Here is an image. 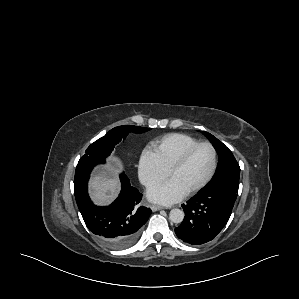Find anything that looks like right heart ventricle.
Listing matches in <instances>:
<instances>
[{
    "label": "right heart ventricle",
    "mask_w": 299,
    "mask_h": 299,
    "mask_svg": "<svg viewBox=\"0 0 299 299\" xmlns=\"http://www.w3.org/2000/svg\"><path fill=\"white\" fill-rule=\"evenodd\" d=\"M198 140L182 133L167 134L151 143L154 154L161 165L169 172L180 155Z\"/></svg>",
    "instance_id": "1"
}]
</instances>
